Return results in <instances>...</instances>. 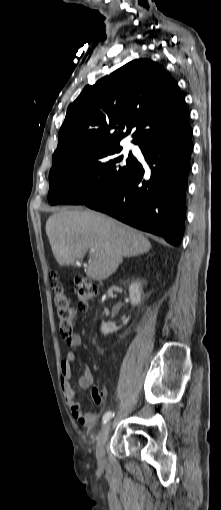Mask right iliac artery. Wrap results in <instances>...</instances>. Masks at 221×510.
Wrapping results in <instances>:
<instances>
[{"instance_id": "82829eb1", "label": "right iliac artery", "mask_w": 221, "mask_h": 510, "mask_svg": "<svg viewBox=\"0 0 221 510\" xmlns=\"http://www.w3.org/2000/svg\"><path fill=\"white\" fill-rule=\"evenodd\" d=\"M114 416V413L111 412V411H108L106 412L104 415H103V418H102V422L103 423H106L110 418H112Z\"/></svg>"}]
</instances>
